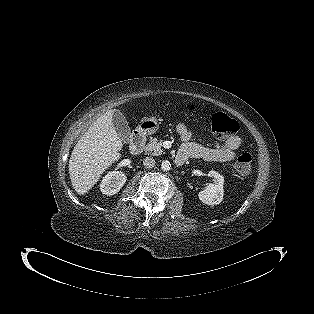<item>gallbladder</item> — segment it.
<instances>
[{
    "label": "gallbladder",
    "instance_id": "bac80fb5",
    "mask_svg": "<svg viewBox=\"0 0 314 314\" xmlns=\"http://www.w3.org/2000/svg\"><path fill=\"white\" fill-rule=\"evenodd\" d=\"M113 125L122 142L128 144L131 140V129L126 117L118 110L113 113Z\"/></svg>",
    "mask_w": 314,
    "mask_h": 314
}]
</instances>
